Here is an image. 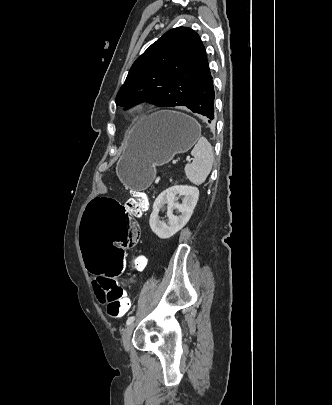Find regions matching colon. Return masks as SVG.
<instances>
[{
	"instance_id": "colon-1",
	"label": "colon",
	"mask_w": 332,
	"mask_h": 405,
	"mask_svg": "<svg viewBox=\"0 0 332 405\" xmlns=\"http://www.w3.org/2000/svg\"><path fill=\"white\" fill-rule=\"evenodd\" d=\"M147 198L142 191L131 192L124 203L118 197H92L86 203L80 227L79 247L82 249L83 268L97 278L98 290L103 295L107 314L118 319L129 309L125 290L118 284L117 275H123L128 249H136L141 236L134 214L147 210ZM127 208L131 211H127ZM133 268L143 271L146 259H133Z\"/></svg>"
}]
</instances>
